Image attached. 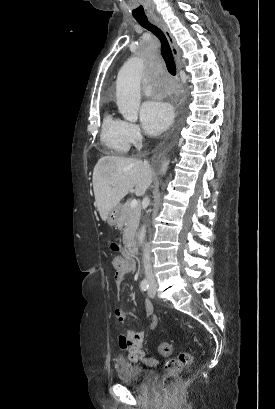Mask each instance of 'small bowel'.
<instances>
[{"label":"small bowel","instance_id":"small-bowel-1","mask_svg":"<svg viewBox=\"0 0 275 409\" xmlns=\"http://www.w3.org/2000/svg\"><path fill=\"white\" fill-rule=\"evenodd\" d=\"M123 261L121 273H116L115 275V282L117 285L122 283L124 275H128L136 270V263L133 260L123 259ZM114 314L119 322H123L128 315L121 306L115 308ZM143 314L148 318V328L151 330L155 329L158 324V318L154 315V306L151 301L147 300L144 302ZM144 341L145 333L143 331H130L128 335L126 333H121L117 343L126 360H135L134 362L136 364L140 362L148 366H155L158 364V361L154 358L145 357L141 350Z\"/></svg>","mask_w":275,"mask_h":409}]
</instances>
